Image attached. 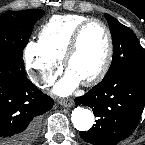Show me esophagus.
Segmentation results:
<instances>
[{"mask_svg": "<svg viewBox=\"0 0 145 145\" xmlns=\"http://www.w3.org/2000/svg\"><path fill=\"white\" fill-rule=\"evenodd\" d=\"M64 107H71L73 105V100L71 99H62L59 102Z\"/></svg>", "mask_w": 145, "mask_h": 145, "instance_id": "esophagus-1", "label": "esophagus"}]
</instances>
